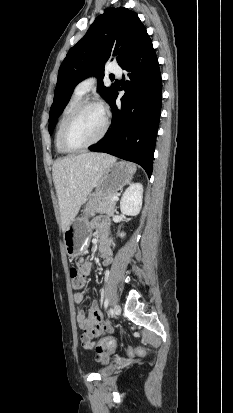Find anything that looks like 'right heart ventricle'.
<instances>
[{"instance_id": "1", "label": "right heart ventricle", "mask_w": 233, "mask_h": 413, "mask_svg": "<svg viewBox=\"0 0 233 413\" xmlns=\"http://www.w3.org/2000/svg\"><path fill=\"white\" fill-rule=\"evenodd\" d=\"M81 100H82V96L79 95V94H77V93H74V94L71 96V98L68 100V102H67L66 106L64 107V109H63V111H62V113H61V116H60V118H59V120H58L57 127H56V132H55V147H56L57 151H58L59 153H61V154L68 153L67 151H65V150L62 148V146H61V144H60L59 135H60L61 127H62L65 119L67 118V116H68V115L70 114V112L74 109V107H75L78 103L81 102Z\"/></svg>"}]
</instances>
